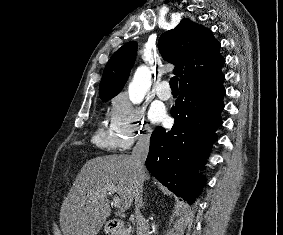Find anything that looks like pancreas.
Returning a JSON list of instances; mask_svg holds the SVG:
<instances>
[{
  "label": "pancreas",
  "instance_id": "obj_1",
  "mask_svg": "<svg viewBox=\"0 0 283 235\" xmlns=\"http://www.w3.org/2000/svg\"><path fill=\"white\" fill-rule=\"evenodd\" d=\"M130 232H131V228L129 227V228L127 229V234H126V235H130Z\"/></svg>",
  "mask_w": 283,
  "mask_h": 235
}]
</instances>
